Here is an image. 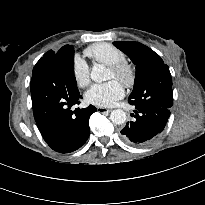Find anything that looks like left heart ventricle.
<instances>
[{"mask_svg":"<svg viewBox=\"0 0 205 205\" xmlns=\"http://www.w3.org/2000/svg\"><path fill=\"white\" fill-rule=\"evenodd\" d=\"M114 78H115L114 74L109 70L107 74V79H114Z\"/></svg>","mask_w":205,"mask_h":205,"instance_id":"b2bd125f","label":"left heart ventricle"}]
</instances>
